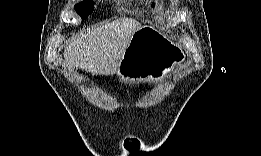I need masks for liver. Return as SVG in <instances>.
Returning a JSON list of instances; mask_svg holds the SVG:
<instances>
[{"mask_svg":"<svg viewBox=\"0 0 261 156\" xmlns=\"http://www.w3.org/2000/svg\"><path fill=\"white\" fill-rule=\"evenodd\" d=\"M141 24L121 18L96 27L71 40L64 51L65 62L92 75H113L120 66L133 34Z\"/></svg>","mask_w":261,"mask_h":156,"instance_id":"obj_1","label":"liver"}]
</instances>
